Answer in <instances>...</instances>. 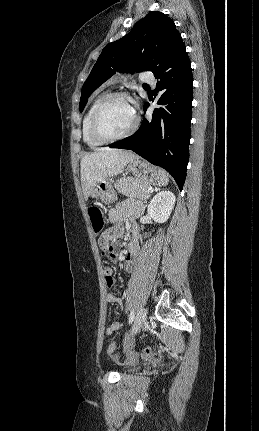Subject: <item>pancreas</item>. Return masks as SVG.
I'll use <instances>...</instances> for the list:
<instances>
[{
    "instance_id": "pancreas-1",
    "label": "pancreas",
    "mask_w": 259,
    "mask_h": 431,
    "mask_svg": "<svg viewBox=\"0 0 259 431\" xmlns=\"http://www.w3.org/2000/svg\"><path fill=\"white\" fill-rule=\"evenodd\" d=\"M149 187L148 184L134 177H124L115 183V188L119 193L140 200H147L150 197V192L147 191Z\"/></svg>"
}]
</instances>
